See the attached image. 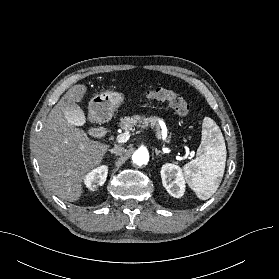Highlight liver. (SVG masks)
<instances>
[{
  "instance_id": "1",
  "label": "liver",
  "mask_w": 279,
  "mask_h": 279,
  "mask_svg": "<svg viewBox=\"0 0 279 279\" xmlns=\"http://www.w3.org/2000/svg\"><path fill=\"white\" fill-rule=\"evenodd\" d=\"M86 92L85 85L77 84L64 94L50 111L36 143L45 185L59 198L70 202L79 200L85 176L101 164L109 147L89 139L67 117V102H81Z\"/></svg>"
}]
</instances>
